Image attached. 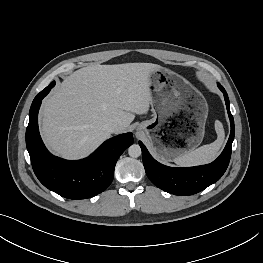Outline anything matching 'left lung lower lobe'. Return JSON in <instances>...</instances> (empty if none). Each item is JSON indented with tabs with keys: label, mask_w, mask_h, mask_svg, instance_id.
I'll use <instances>...</instances> for the list:
<instances>
[{
	"label": "left lung lower lobe",
	"mask_w": 263,
	"mask_h": 263,
	"mask_svg": "<svg viewBox=\"0 0 263 263\" xmlns=\"http://www.w3.org/2000/svg\"><path fill=\"white\" fill-rule=\"evenodd\" d=\"M224 93L227 112L231 123V132L221 155L212 163L196 167L173 168L157 162L148 152L142 142L143 164L151 182L160 189L175 195H192L198 193L218 181L226 171L232 151L235 128L234 119L230 112L229 98L225 89L218 83Z\"/></svg>",
	"instance_id": "left-lung-lower-lobe-1"
}]
</instances>
